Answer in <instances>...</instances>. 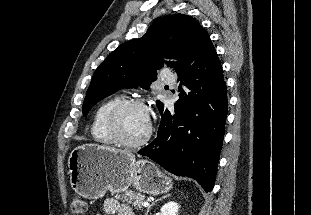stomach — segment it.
<instances>
[{"mask_svg":"<svg viewBox=\"0 0 311 215\" xmlns=\"http://www.w3.org/2000/svg\"><path fill=\"white\" fill-rule=\"evenodd\" d=\"M73 190L86 199L127 191L133 186L149 195L167 193L172 179L151 161L138 160L128 154L112 152L96 144L74 148L68 158Z\"/></svg>","mask_w":311,"mask_h":215,"instance_id":"0dacf381","label":"stomach"}]
</instances>
